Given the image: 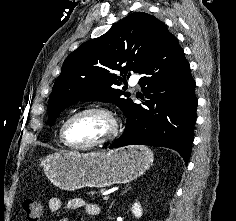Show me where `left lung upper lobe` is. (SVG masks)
I'll return each instance as SVG.
<instances>
[{
    "label": "left lung upper lobe",
    "instance_id": "5c2ea615",
    "mask_svg": "<svg viewBox=\"0 0 236 221\" xmlns=\"http://www.w3.org/2000/svg\"><path fill=\"white\" fill-rule=\"evenodd\" d=\"M167 31L155 16L137 12L116 23L101 37L80 45L64 61L53 86L48 101L49 124L53 125L66 107L79 100L114 103L125 113L132 100L122 98L130 94L116 86L126 81L128 71L140 73Z\"/></svg>",
    "mask_w": 236,
    "mask_h": 221
}]
</instances>
